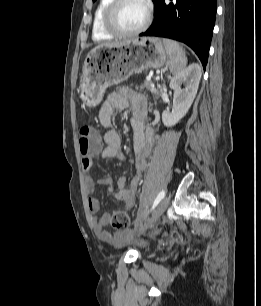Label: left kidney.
<instances>
[{"label":"left kidney","instance_id":"5707ae66","mask_svg":"<svg viewBox=\"0 0 261 306\" xmlns=\"http://www.w3.org/2000/svg\"><path fill=\"white\" fill-rule=\"evenodd\" d=\"M201 75V67L193 63L171 79L170 88L174 91L173 108L171 112L165 110L162 113V121L166 127L174 126L186 115L197 94ZM182 85L185 86L183 89Z\"/></svg>","mask_w":261,"mask_h":306}]
</instances>
